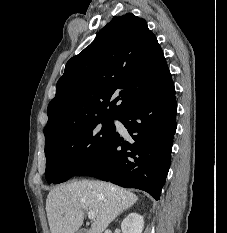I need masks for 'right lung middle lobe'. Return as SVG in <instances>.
Segmentation results:
<instances>
[{
    "label": "right lung middle lobe",
    "instance_id": "1",
    "mask_svg": "<svg viewBox=\"0 0 227 233\" xmlns=\"http://www.w3.org/2000/svg\"><path fill=\"white\" fill-rule=\"evenodd\" d=\"M115 132L113 118L96 119L58 135L45 144V177L61 183L91 162Z\"/></svg>",
    "mask_w": 227,
    "mask_h": 233
}]
</instances>
